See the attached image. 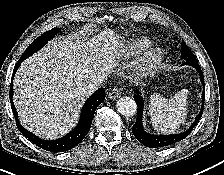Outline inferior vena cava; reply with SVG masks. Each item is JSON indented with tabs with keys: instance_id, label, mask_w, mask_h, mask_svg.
I'll return each mask as SVG.
<instances>
[{
	"instance_id": "obj_1",
	"label": "inferior vena cava",
	"mask_w": 224,
	"mask_h": 175,
	"mask_svg": "<svg viewBox=\"0 0 224 175\" xmlns=\"http://www.w3.org/2000/svg\"><path fill=\"white\" fill-rule=\"evenodd\" d=\"M105 77L103 75H97L91 80H89L83 87V90L86 91V93L91 94L94 92L97 88L101 86L103 83Z\"/></svg>"
}]
</instances>
